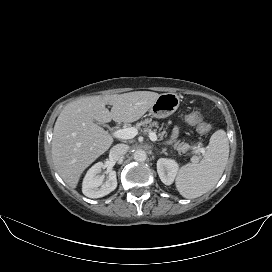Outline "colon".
I'll use <instances>...</instances> for the list:
<instances>
[{"label": "colon", "mask_w": 272, "mask_h": 272, "mask_svg": "<svg viewBox=\"0 0 272 272\" xmlns=\"http://www.w3.org/2000/svg\"><path fill=\"white\" fill-rule=\"evenodd\" d=\"M186 119L188 123L197 125L199 133L203 135L207 134L211 129L210 125L204 121L203 115L199 112H192L188 114Z\"/></svg>", "instance_id": "1"}]
</instances>
